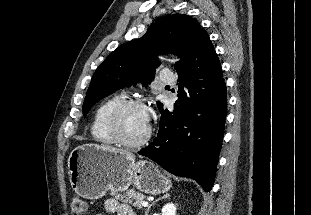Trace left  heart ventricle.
I'll return each instance as SVG.
<instances>
[{
	"label": "left heart ventricle",
	"instance_id": "left-heart-ventricle-1",
	"mask_svg": "<svg viewBox=\"0 0 311 215\" xmlns=\"http://www.w3.org/2000/svg\"><path fill=\"white\" fill-rule=\"evenodd\" d=\"M147 114L148 111L141 107H132L125 112L122 127L127 140L138 141L145 136L149 126Z\"/></svg>",
	"mask_w": 311,
	"mask_h": 215
}]
</instances>
